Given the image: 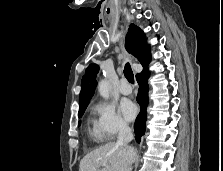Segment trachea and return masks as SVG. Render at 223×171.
<instances>
[{
    "label": "trachea",
    "instance_id": "trachea-1",
    "mask_svg": "<svg viewBox=\"0 0 223 171\" xmlns=\"http://www.w3.org/2000/svg\"><path fill=\"white\" fill-rule=\"evenodd\" d=\"M124 75L130 83H134V75L129 63L124 67Z\"/></svg>",
    "mask_w": 223,
    "mask_h": 171
}]
</instances>
